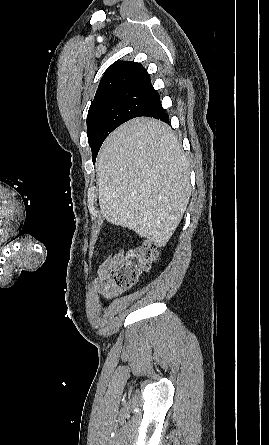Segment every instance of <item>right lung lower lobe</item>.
Listing matches in <instances>:
<instances>
[{
    "instance_id": "right-lung-lower-lobe-1",
    "label": "right lung lower lobe",
    "mask_w": 269,
    "mask_h": 445,
    "mask_svg": "<svg viewBox=\"0 0 269 445\" xmlns=\"http://www.w3.org/2000/svg\"><path fill=\"white\" fill-rule=\"evenodd\" d=\"M139 116H148L156 119H160L164 122H168V114L163 109L160 101V97L151 103Z\"/></svg>"
}]
</instances>
